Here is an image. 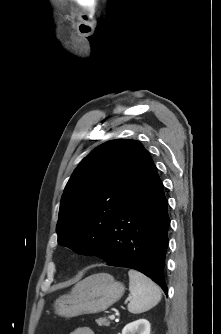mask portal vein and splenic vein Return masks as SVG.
Returning <instances> with one entry per match:
<instances>
[{"instance_id":"1","label":"portal vein and splenic vein","mask_w":221,"mask_h":334,"mask_svg":"<svg viewBox=\"0 0 221 334\" xmlns=\"http://www.w3.org/2000/svg\"><path fill=\"white\" fill-rule=\"evenodd\" d=\"M110 320H114L115 319V315H110Z\"/></svg>"}]
</instances>
